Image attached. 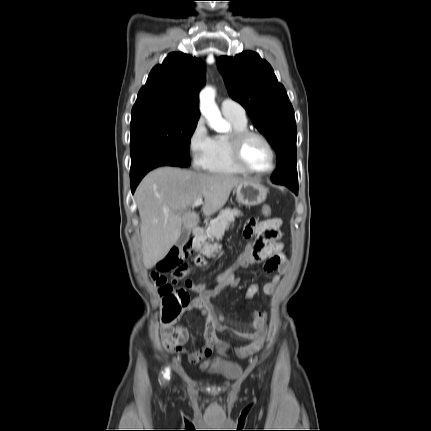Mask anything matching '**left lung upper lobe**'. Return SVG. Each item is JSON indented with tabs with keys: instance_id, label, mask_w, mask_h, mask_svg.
Wrapping results in <instances>:
<instances>
[{
	"instance_id": "5c2ea615",
	"label": "left lung upper lobe",
	"mask_w": 431,
	"mask_h": 431,
	"mask_svg": "<svg viewBox=\"0 0 431 431\" xmlns=\"http://www.w3.org/2000/svg\"><path fill=\"white\" fill-rule=\"evenodd\" d=\"M217 64L231 98L246 109L256 128L276 151L278 169L272 175V182L298 185L294 110L271 66L252 51L235 57L222 56Z\"/></svg>"
}]
</instances>
